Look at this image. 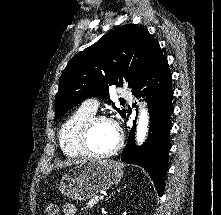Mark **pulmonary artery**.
Here are the masks:
<instances>
[{"label":"pulmonary artery","mask_w":221,"mask_h":215,"mask_svg":"<svg viewBox=\"0 0 221 215\" xmlns=\"http://www.w3.org/2000/svg\"><path fill=\"white\" fill-rule=\"evenodd\" d=\"M121 95L125 99H131V93L128 91H123ZM82 107L92 113H96L98 102L95 99H88L83 102Z\"/></svg>","instance_id":"e3ab8cb5"}]
</instances>
